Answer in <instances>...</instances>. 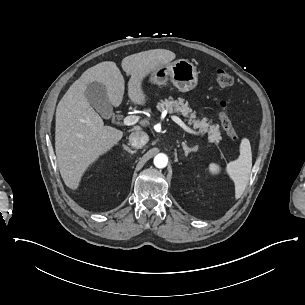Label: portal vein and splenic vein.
<instances>
[{
  "label": "portal vein and splenic vein",
  "instance_id": "obj_1",
  "mask_svg": "<svg viewBox=\"0 0 305 305\" xmlns=\"http://www.w3.org/2000/svg\"><path fill=\"white\" fill-rule=\"evenodd\" d=\"M174 122H176L185 132L195 135L203 136L201 131H196L187 126L179 117H173ZM137 122V116H127L123 119V124L125 126H131Z\"/></svg>",
  "mask_w": 305,
  "mask_h": 305
}]
</instances>
